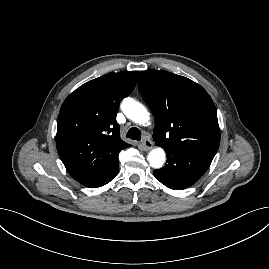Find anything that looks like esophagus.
Here are the masks:
<instances>
[{
  "label": "esophagus",
  "mask_w": 269,
  "mask_h": 269,
  "mask_svg": "<svg viewBox=\"0 0 269 269\" xmlns=\"http://www.w3.org/2000/svg\"><path fill=\"white\" fill-rule=\"evenodd\" d=\"M142 145H143L145 150H150L153 147V143L148 137H145L142 140Z\"/></svg>",
  "instance_id": "esophagus-1"
}]
</instances>
